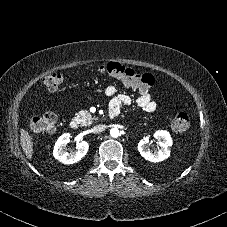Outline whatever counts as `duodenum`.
Segmentation results:
<instances>
[{"instance_id":"duodenum-1","label":"duodenum","mask_w":227,"mask_h":227,"mask_svg":"<svg viewBox=\"0 0 227 227\" xmlns=\"http://www.w3.org/2000/svg\"><path fill=\"white\" fill-rule=\"evenodd\" d=\"M117 115H118V112H117L116 110L110 109L109 114H108V116H109L110 119L116 118ZM70 127H71L72 129H74V130L78 129V128L80 127V122H79V120H78V119H75V118L72 119V120L70 121Z\"/></svg>"}]
</instances>
